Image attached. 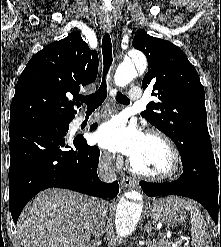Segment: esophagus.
Here are the masks:
<instances>
[{"mask_svg": "<svg viewBox=\"0 0 221 247\" xmlns=\"http://www.w3.org/2000/svg\"><path fill=\"white\" fill-rule=\"evenodd\" d=\"M101 28L104 33L111 32L112 25L109 19H103L101 22ZM123 187L135 188L137 186V181L135 179L126 177L121 181Z\"/></svg>", "mask_w": 221, "mask_h": 247, "instance_id": "obj_1", "label": "esophagus"}]
</instances>
